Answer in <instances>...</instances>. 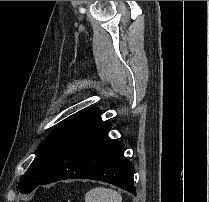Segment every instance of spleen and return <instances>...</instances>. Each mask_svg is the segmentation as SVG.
<instances>
[{
    "instance_id": "1",
    "label": "spleen",
    "mask_w": 209,
    "mask_h": 202,
    "mask_svg": "<svg viewBox=\"0 0 209 202\" xmlns=\"http://www.w3.org/2000/svg\"><path fill=\"white\" fill-rule=\"evenodd\" d=\"M85 202H122V196L113 189L96 187L85 194Z\"/></svg>"
}]
</instances>
